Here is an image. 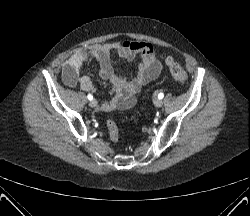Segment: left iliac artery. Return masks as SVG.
<instances>
[{"label": "left iliac artery", "mask_w": 250, "mask_h": 216, "mask_svg": "<svg viewBox=\"0 0 250 216\" xmlns=\"http://www.w3.org/2000/svg\"><path fill=\"white\" fill-rule=\"evenodd\" d=\"M163 97H164V94H163V93H159V94H158V98H159V99H162Z\"/></svg>", "instance_id": "obj_1"}]
</instances>
